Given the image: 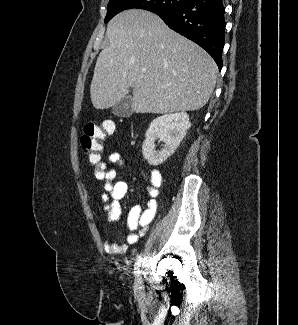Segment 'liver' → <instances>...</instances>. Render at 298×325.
Listing matches in <instances>:
<instances>
[{
    "instance_id": "liver-1",
    "label": "liver",
    "mask_w": 298,
    "mask_h": 325,
    "mask_svg": "<svg viewBox=\"0 0 298 325\" xmlns=\"http://www.w3.org/2000/svg\"><path fill=\"white\" fill-rule=\"evenodd\" d=\"M90 84L95 108H110L132 92L134 112L198 110L216 84L217 64L201 46L171 30L160 16L130 8L107 24Z\"/></svg>"
}]
</instances>
